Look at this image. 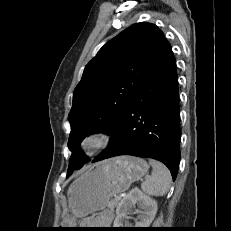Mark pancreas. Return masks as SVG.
Segmentation results:
<instances>
[{
    "instance_id": "pancreas-1",
    "label": "pancreas",
    "mask_w": 231,
    "mask_h": 231,
    "mask_svg": "<svg viewBox=\"0 0 231 231\" xmlns=\"http://www.w3.org/2000/svg\"><path fill=\"white\" fill-rule=\"evenodd\" d=\"M119 201H120V199H117V198L112 199V200L108 203V207H109L110 209L113 210L115 207L118 206Z\"/></svg>"
}]
</instances>
